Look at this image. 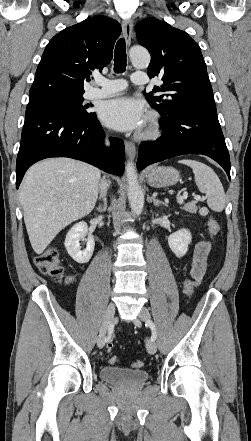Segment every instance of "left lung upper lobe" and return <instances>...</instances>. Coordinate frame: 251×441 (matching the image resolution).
Returning <instances> with one entry per match:
<instances>
[{
	"mask_svg": "<svg viewBox=\"0 0 251 441\" xmlns=\"http://www.w3.org/2000/svg\"><path fill=\"white\" fill-rule=\"evenodd\" d=\"M135 30L139 44L151 54L149 77L161 76L164 81L145 93L161 120L185 109L216 108L200 47L186 32L155 18L141 20ZM156 92L166 94L153 96Z\"/></svg>",
	"mask_w": 251,
	"mask_h": 441,
	"instance_id": "1",
	"label": "left lung upper lobe"
}]
</instances>
